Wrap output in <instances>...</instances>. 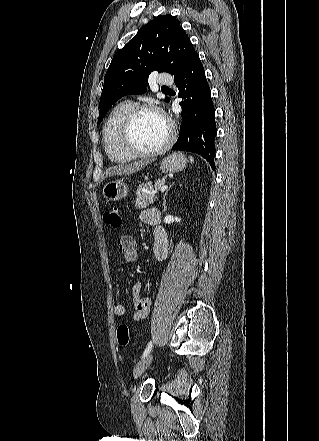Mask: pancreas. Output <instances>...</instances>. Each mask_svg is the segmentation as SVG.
Instances as JSON below:
<instances>
[{"label":"pancreas","instance_id":"pancreas-1","mask_svg":"<svg viewBox=\"0 0 319 441\" xmlns=\"http://www.w3.org/2000/svg\"><path fill=\"white\" fill-rule=\"evenodd\" d=\"M164 183L165 178L157 180L154 185L151 182L139 185L136 193L135 207L137 209H142L153 204L156 200V193L146 192V190H158L164 185Z\"/></svg>","mask_w":319,"mask_h":441}]
</instances>
